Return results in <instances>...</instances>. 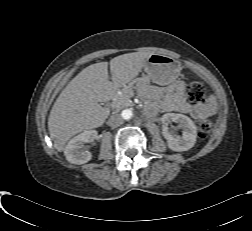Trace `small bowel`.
Segmentation results:
<instances>
[{
  "label": "small bowel",
  "mask_w": 252,
  "mask_h": 231,
  "mask_svg": "<svg viewBox=\"0 0 252 231\" xmlns=\"http://www.w3.org/2000/svg\"><path fill=\"white\" fill-rule=\"evenodd\" d=\"M174 109L181 113H188L195 119H205L209 116V109L203 104L190 105L182 98H177L174 103Z\"/></svg>",
  "instance_id": "c3829d8e"
}]
</instances>
